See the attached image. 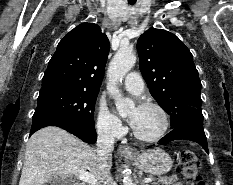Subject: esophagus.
Returning a JSON list of instances; mask_svg holds the SVG:
<instances>
[{
    "mask_svg": "<svg viewBox=\"0 0 233 185\" xmlns=\"http://www.w3.org/2000/svg\"><path fill=\"white\" fill-rule=\"evenodd\" d=\"M118 151L120 154H122L124 156H130V155L135 154L134 150L126 145H120L118 148Z\"/></svg>",
    "mask_w": 233,
    "mask_h": 185,
    "instance_id": "esophagus-1",
    "label": "esophagus"
}]
</instances>
